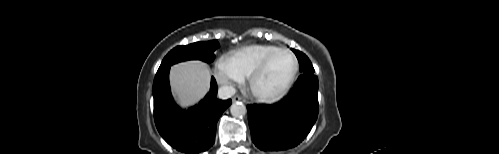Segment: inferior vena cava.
<instances>
[{
	"label": "inferior vena cava",
	"mask_w": 499,
	"mask_h": 154,
	"mask_svg": "<svg viewBox=\"0 0 499 154\" xmlns=\"http://www.w3.org/2000/svg\"><path fill=\"white\" fill-rule=\"evenodd\" d=\"M236 93V89L233 86L223 85L218 89V97L220 99L231 98Z\"/></svg>",
	"instance_id": "obj_1"
}]
</instances>
